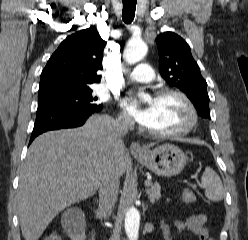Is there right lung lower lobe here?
Here are the masks:
<instances>
[{"instance_id":"obj_1","label":"right lung lower lobe","mask_w":248,"mask_h":240,"mask_svg":"<svg viewBox=\"0 0 248 240\" xmlns=\"http://www.w3.org/2000/svg\"><path fill=\"white\" fill-rule=\"evenodd\" d=\"M102 108L80 109L57 105L38 107L30 143L43 132L81 126L89 116L100 112Z\"/></svg>"}]
</instances>
